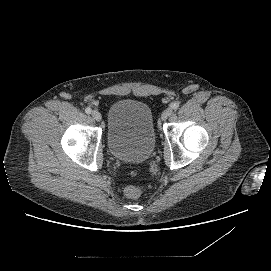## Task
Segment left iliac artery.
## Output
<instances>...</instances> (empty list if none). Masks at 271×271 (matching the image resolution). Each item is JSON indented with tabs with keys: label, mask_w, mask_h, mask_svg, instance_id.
Listing matches in <instances>:
<instances>
[{
	"label": "left iliac artery",
	"mask_w": 271,
	"mask_h": 271,
	"mask_svg": "<svg viewBox=\"0 0 271 271\" xmlns=\"http://www.w3.org/2000/svg\"><path fill=\"white\" fill-rule=\"evenodd\" d=\"M171 108L174 109V110H177L179 108V103L178 102L172 103Z\"/></svg>",
	"instance_id": "obj_1"
}]
</instances>
